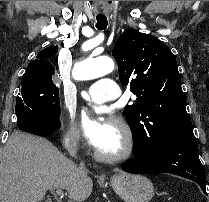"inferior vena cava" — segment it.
I'll return each mask as SVG.
<instances>
[{
  "label": "inferior vena cava",
  "mask_w": 209,
  "mask_h": 202,
  "mask_svg": "<svg viewBox=\"0 0 209 202\" xmlns=\"http://www.w3.org/2000/svg\"><path fill=\"white\" fill-rule=\"evenodd\" d=\"M69 152L72 157L77 158V149L75 147H72ZM79 168L85 170V163L83 161L80 162Z\"/></svg>",
  "instance_id": "inferior-vena-cava-1"
}]
</instances>
